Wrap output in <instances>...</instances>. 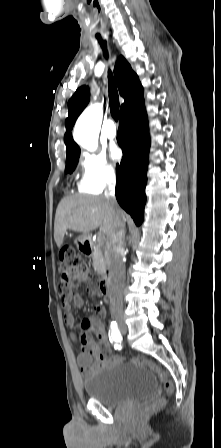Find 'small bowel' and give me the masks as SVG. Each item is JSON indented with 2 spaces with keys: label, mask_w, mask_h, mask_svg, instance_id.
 Here are the masks:
<instances>
[{
  "label": "small bowel",
  "mask_w": 221,
  "mask_h": 448,
  "mask_svg": "<svg viewBox=\"0 0 221 448\" xmlns=\"http://www.w3.org/2000/svg\"><path fill=\"white\" fill-rule=\"evenodd\" d=\"M72 304L81 307L83 305V298L79 293L67 291L63 294L62 298V307L65 311V322L67 326L75 330L76 320L72 313ZM104 315V308L102 306H97L85 319L86 324L90 326L97 338L98 344L91 339L88 331L85 330L79 334L82 352L77 356V362L83 375L97 370L111 359L116 361L121 360L120 356L112 355L110 350L107 333L100 320ZM73 337H76L75 332H73Z\"/></svg>",
  "instance_id": "1"
}]
</instances>
